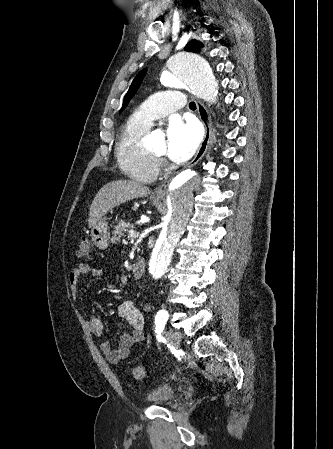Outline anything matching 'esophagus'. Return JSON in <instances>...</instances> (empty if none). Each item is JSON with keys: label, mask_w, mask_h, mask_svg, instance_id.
<instances>
[{"label": "esophagus", "mask_w": 333, "mask_h": 449, "mask_svg": "<svg viewBox=\"0 0 333 449\" xmlns=\"http://www.w3.org/2000/svg\"><path fill=\"white\" fill-rule=\"evenodd\" d=\"M196 106H197L199 118L205 128V134H204V138L199 146V149H198L195 157L189 163L190 166L197 164L201 160V158L204 156L205 152L207 151V148L210 145V143L212 141V137H213V123H212L210 114L208 113L206 107L200 100H196ZM167 185L168 184L166 182L159 185L154 190V195L157 197H163L165 195Z\"/></svg>", "instance_id": "obj_1"}]
</instances>
